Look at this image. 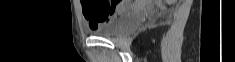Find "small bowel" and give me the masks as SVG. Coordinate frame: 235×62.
Instances as JSON below:
<instances>
[{
    "instance_id": "obj_1",
    "label": "small bowel",
    "mask_w": 235,
    "mask_h": 62,
    "mask_svg": "<svg viewBox=\"0 0 235 62\" xmlns=\"http://www.w3.org/2000/svg\"><path fill=\"white\" fill-rule=\"evenodd\" d=\"M83 13H84V6H83ZM84 17L88 21V26L91 30L97 29L102 24V23H100V24L96 25L89 18H87L85 15H84Z\"/></svg>"
}]
</instances>
